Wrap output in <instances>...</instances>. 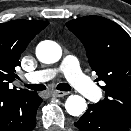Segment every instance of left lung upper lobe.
I'll use <instances>...</instances> for the list:
<instances>
[{
    "label": "left lung upper lobe",
    "mask_w": 131,
    "mask_h": 131,
    "mask_svg": "<svg viewBox=\"0 0 131 131\" xmlns=\"http://www.w3.org/2000/svg\"><path fill=\"white\" fill-rule=\"evenodd\" d=\"M66 26L83 43L97 81L105 83V98L95 105L131 127V37L100 16L77 18Z\"/></svg>",
    "instance_id": "5c2ea615"
}]
</instances>
